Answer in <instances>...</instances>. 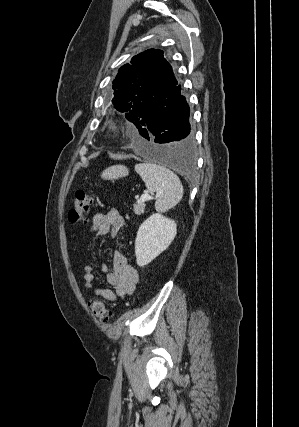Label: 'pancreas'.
I'll use <instances>...</instances> for the list:
<instances>
[{
  "instance_id": "obj_1",
  "label": "pancreas",
  "mask_w": 299,
  "mask_h": 427,
  "mask_svg": "<svg viewBox=\"0 0 299 427\" xmlns=\"http://www.w3.org/2000/svg\"><path fill=\"white\" fill-rule=\"evenodd\" d=\"M133 211L136 215H141L145 211V203L142 200H137L134 204Z\"/></svg>"
}]
</instances>
